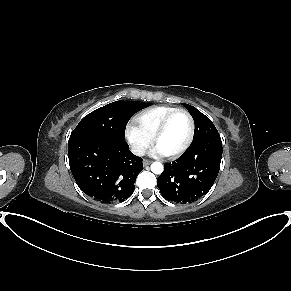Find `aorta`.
Here are the masks:
<instances>
[{"mask_svg":"<svg viewBox=\"0 0 291 291\" xmlns=\"http://www.w3.org/2000/svg\"><path fill=\"white\" fill-rule=\"evenodd\" d=\"M151 171L154 174H161L163 172V165L160 162H154L151 164Z\"/></svg>","mask_w":291,"mask_h":291,"instance_id":"762f6f07","label":"aorta"}]
</instances>
